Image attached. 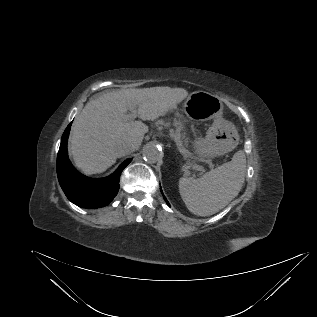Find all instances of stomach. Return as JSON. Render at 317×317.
Returning a JSON list of instances; mask_svg holds the SVG:
<instances>
[{
  "label": "stomach",
  "instance_id": "1",
  "mask_svg": "<svg viewBox=\"0 0 317 317\" xmlns=\"http://www.w3.org/2000/svg\"><path fill=\"white\" fill-rule=\"evenodd\" d=\"M189 102L198 103L206 113V120H212L205 138L193 142V149L198 160L213 158L232 151L239 143V134L233 123L222 118L223 105L219 97L205 91L193 92Z\"/></svg>",
  "mask_w": 317,
  "mask_h": 317
}]
</instances>
